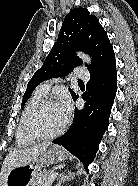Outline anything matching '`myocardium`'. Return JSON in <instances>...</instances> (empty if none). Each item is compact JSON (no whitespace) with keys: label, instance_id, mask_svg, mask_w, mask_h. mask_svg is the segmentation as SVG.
<instances>
[{"label":"myocardium","instance_id":"1","mask_svg":"<svg viewBox=\"0 0 138 186\" xmlns=\"http://www.w3.org/2000/svg\"><path fill=\"white\" fill-rule=\"evenodd\" d=\"M49 104H58L57 100L55 98L52 97H45L44 99H42L41 101L37 102L34 106H32L29 111L26 113V115L23 118V122H22V131L23 134L26 138L32 140V141H47V140H51L54 139L56 137H59L60 135H62L66 129L68 128L69 125V117H66V121L63 125V127L61 129H59L58 131H56L55 133L52 134H48V135H38L33 133L30 128H29V120L30 118L41 108H43L44 106H47Z\"/></svg>","mask_w":138,"mask_h":186}]
</instances>
